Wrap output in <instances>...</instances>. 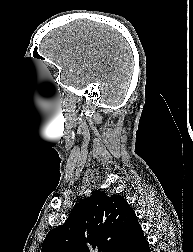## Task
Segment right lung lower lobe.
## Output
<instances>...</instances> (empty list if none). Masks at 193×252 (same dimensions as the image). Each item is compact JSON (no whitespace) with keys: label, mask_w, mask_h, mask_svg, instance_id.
<instances>
[{"label":"right lung lower lobe","mask_w":193,"mask_h":252,"mask_svg":"<svg viewBox=\"0 0 193 252\" xmlns=\"http://www.w3.org/2000/svg\"><path fill=\"white\" fill-rule=\"evenodd\" d=\"M121 252H150L149 244L140 229Z\"/></svg>","instance_id":"obj_1"}]
</instances>
